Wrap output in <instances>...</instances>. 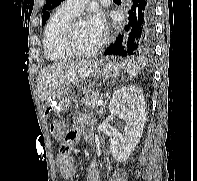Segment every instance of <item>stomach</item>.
Instances as JSON below:
<instances>
[{
	"instance_id": "stomach-1",
	"label": "stomach",
	"mask_w": 197,
	"mask_h": 181,
	"mask_svg": "<svg viewBox=\"0 0 197 181\" xmlns=\"http://www.w3.org/2000/svg\"><path fill=\"white\" fill-rule=\"evenodd\" d=\"M122 70V65L116 60L105 59L96 61L95 71L92 76L100 80L117 78ZM73 94L71 89L63 85L55 89L47 99V106L56 112H65L71 107Z\"/></svg>"
}]
</instances>
